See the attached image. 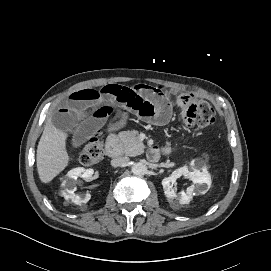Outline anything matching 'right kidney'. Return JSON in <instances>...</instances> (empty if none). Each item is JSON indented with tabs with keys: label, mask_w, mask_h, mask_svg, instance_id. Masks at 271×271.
<instances>
[{
	"label": "right kidney",
	"mask_w": 271,
	"mask_h": 271,
	"mask_svg": "<svg viewBox=\"0 0 271 271\" xmlns=\"http://www.w3.org/2000/svg\"><path fill=\"white\" fill-rule=\"evenodd\" d=\"M93 173V169H85L83 167H77L70 170L67 173L66 179H64L61 184V195L66 200H71L77 205L86 204L90 199V194H86L84 196L75 194L76 185L74 180H76L78 177L89 180L92 177Z\"/></svg>",
	"instance_id": "right-kidney-1"
}]
</instances>
